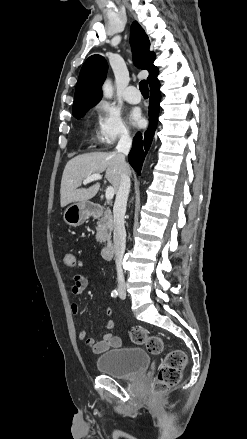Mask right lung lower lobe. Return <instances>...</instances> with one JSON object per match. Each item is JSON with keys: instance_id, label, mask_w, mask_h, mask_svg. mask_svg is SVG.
<instances>
[{"instance_id": "right-lung-lower-lobe-1", "label": "right lung lower lobe", "mask_w": 247, "mask_h": 439, "mask_svg": "<svg viewBox=\"0 0 247 439\" xmlns=\"http://www.w3.org/2000/svg\"><path fill=\"white\" fill-rule=\"evenodd\" d=\"M160 83H155L150 87V102H149V128L142 135L138 132L133 138V147L128 155L129 163L133 169L140 175L144 158L150 148L153 140L155 129L157 126V116L159 112L160 101Z\"/></svg>"}]
</instances>
